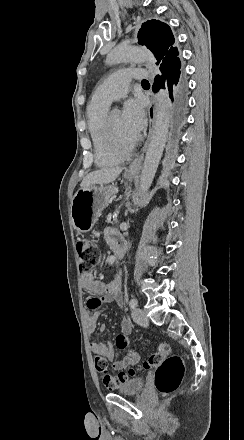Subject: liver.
Masks as SVG:
<instances>
[{"mask_svg": "<svg viewBox=\"0 0 244 440\" xmlns=\"http://www.w3.org/2000/svg\"><path fill=\"white\" fill-rule=\"evenodd\" d=\"M124 168H101L96 172H90L85 178H83L80 186L81 188H90V186H96V184H110L118 178Z\"/></svg>", "mask_w": 244, "mask_h": 440, "instance_id": "1", "label": "liver"}]
</instances>
